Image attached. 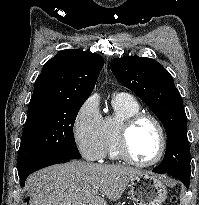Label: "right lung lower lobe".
I'll return each instance as SVG.
<instances>
[{
  "mask_svg": "<svg viewBox=\"0 0 199 205\" xmlns=\"http://www.w3.org/2000/svg\"><path fill=\"white\" fill-rule=\"evenodd\" d=\"M71 159H66V158H52V159H48L46 161H43L37 165H34L32 167H30L29 169L25 170L22 174L19 175L20 177V184L21 186H24L25 185V180L27 179V177L39 170V169H42L44 167H47V166H50V165H54V164H58V163H65V162H68L70 161Z\"/></svg>",
  "mask_w": 199,
  "mask_h": 205,
  "instance_id": "obj_1",
  "label": "right lung lower lobe"
}]
</instances>
